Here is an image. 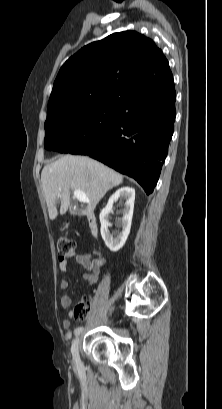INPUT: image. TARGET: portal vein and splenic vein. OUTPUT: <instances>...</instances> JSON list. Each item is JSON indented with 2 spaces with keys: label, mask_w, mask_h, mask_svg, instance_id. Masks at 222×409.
Listing matches in <instances>:
<instances>
[{
  "label": "portal vein and splenic vein",
  "mask_w": 222,
  "mask_h": 409,
  "mask_svg": "<svg viewBox=\"0 0 222 409\" xmlns=\"http://www.w3.org/2000/svg\"><path fill=\"white\" fill-rule=\"evenodd\" d=\"M73 194H74V197H75L77 200H79L80 202H82V203H89V202H90V200H89V198L87 197V195H86L84 192H82V191L74 190Z\"/></svg>",
  "instance_id": "18ae733b"
}]
</instances>
